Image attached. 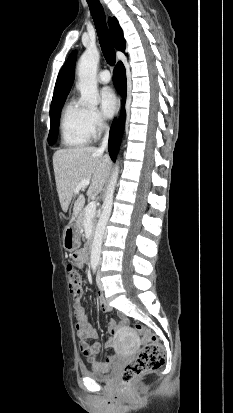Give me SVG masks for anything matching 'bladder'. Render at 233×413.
<instances>
[{
	"mask_svg": "<svg viewBox=\"0 0 233 413\" xmlns=\"http://www.w3.org/2000/svg\"><path fill=\"white\" fill-rule=\"evenodd\" d=\"M82 375L86 378L92 379L97 382H109L113 374L111 372H98V371H89V370H82Z\"/></svg>",
	"mask_w": 233,
	"mask_h": 413,
	"instance_id": "31cf9c89",
	"label": "bladder"
}]
</instances>
